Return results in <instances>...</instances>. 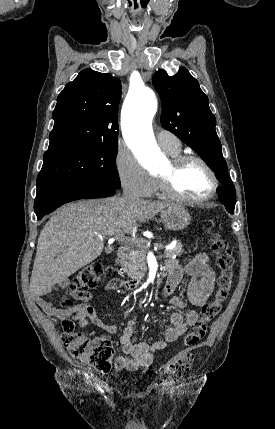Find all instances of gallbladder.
Wrapping results in <instances>:
<instances>
[{"label": "gallbladder", "mask_w": 275, "mask_h": 429, "mask_svg": "<svg viewBox=\"0 0 275 429\" xmlns=\"http://www.w3.org/2000/svg\"><path fill=\"white\" fill-rule=\"evenodd\" d=\"M106 253H110L112 250L110 248L105 249Z\"/></svg>", "instance_id": "1"}]
</instances>
